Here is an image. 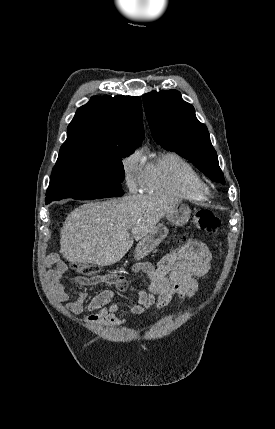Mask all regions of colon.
I'll return each instance as SVG.
<instances>
[{
	"mask_svg": "<svg viewBox=\"0 0 275 429\" xmlns=\"http://www.w3.org/2000/svg\"><path fill=\"white\" fill-rule=\"evenodd\" d=\"M193 222L198 230L213 233L216 232L220 226V220L210 211L205 209H197L193 215ZM187 237H184V241ZM75 269L80 273L83 278L94 279L98 277L97 269L90 263H76Z\"/></svg>",
	"mask_w": 275,
	"mask_h": 429,
	"instance_id": "1",
	"label": "colon"
}]
</instances>
